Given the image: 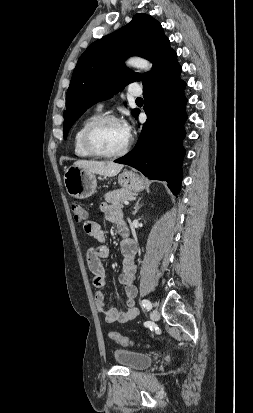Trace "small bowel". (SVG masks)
<instances>
[{"label":"small bowel","instance_id":"obj_1","mask_svg":"<svg viewBox=\"0 0 253 413\" xmlns=\"http://www.w3.org/2000/svg\"><path fill=\"white\" fill-rule=\"evenodd\" d=\"M97 211L104 218L117 226L122 240L121 248V273L118 281L124 288L126 297V307L111 308L106 307L105 289L107 287V275L102 264V259H105L110 254V249L106 244L105 235L101 226L92 220H86L83 224L85 233L93 237L97 241V246H88L86 248V262L89 270L93 275V284L98 290L95 292L94 299L98 312L105 318L108 323H126L134 319L138 315V309L135 306V298L137 296V287L135 286V278L137 266L135 264L136 246L135 243L125 236V231L128 230L121 210L107 203H100L97 206Z\"/></svg>","mask_w":253,"mask_h":413}]
</instances>
